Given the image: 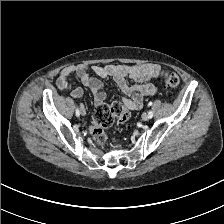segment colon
<instances>
[{"label": "colon", "instance_id": "5ec220e1", "mask_svg": "<svg viewBox=\"0 0 224 224\" xmlns=\"http://www.w3.org/2000/svg\"><path fill=\"white\" fill-rule=\"evenodd\" d=\"M163 81L168 88H176L180 83L178 75L174 72L165 70L161 73ZM130 114L122 102L116 101L112 104H101L94 111L90 125V133L93 140L99 144L105 142L107 135L105 129L111 126L116 120L120 124L129 121Z\"/></svg>", "mask_w": 224, "mask_h": 224}]
</instances>
